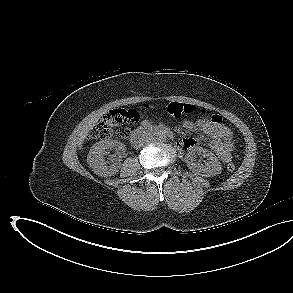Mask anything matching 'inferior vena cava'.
Masks as SVG:
<instances>
[{
  "mask_svg": "<svg viewBox=\"0 0 293 293\" xmlns=\"http://www.w3.org/2000/svg\"><path fill=\"white\" fill-rule=\"evenodd\" d=\"M152 140V138L150 137H144V139H142V141H140L139 145H136V147L141 146L143 144H147Z\"/></svg>",
  "mask_w": 293,
  "mask_h": 293,
  "instance_id": "inferior-vena-cava-1",
  "label": "inferior vena cava"
}]
</instances>
